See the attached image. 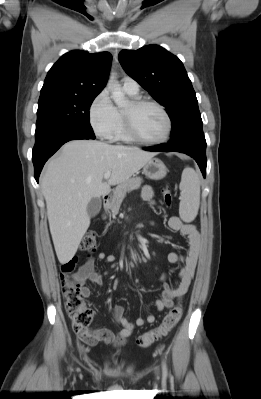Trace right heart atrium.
Returning <instances> with one entry per match:
<instances>
[{
	"label": "right heart atrium",
	"mask_w": 261,
	"mask_h": 399,
	"mask_svg": "<svg viewBox=\"0 0 261 399\" xmlns=\"http://www.w3.org/2000/svg\"><path fill=\"white\" fill-rule=\"evenodd\" d=\"M89 122L95 134L112 139L119 123V115L106 90L101 91L89 107Z\"/></svg>",
	"instance_id": "right-heart-atrium-1"
}]
</instances>
